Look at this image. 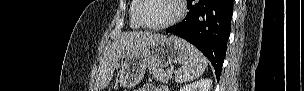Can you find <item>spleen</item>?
Instances as JSON below:
<instances>
[{"label":"spleen","mask_w":304,"mask_h":91,"mask_svg":"<svg viewBox=\"0 0 304 91\" xmlns=\"http://www.w3.org/2000/svg\"><path fill=\"white\" fill-rule=\"evenodd\" d=\"M185 45L189 52V59L175 73V81L177 83L189 82L198 78L208 66L207 59L196 47L187 42H185Z\"/></svg>","instance_id":"obj_1"}]
</instances>
